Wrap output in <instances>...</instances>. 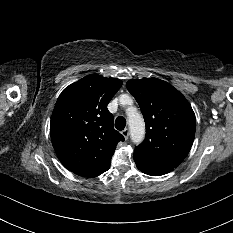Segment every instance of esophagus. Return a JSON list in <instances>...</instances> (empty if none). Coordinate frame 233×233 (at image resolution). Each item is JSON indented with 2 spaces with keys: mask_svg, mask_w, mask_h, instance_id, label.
I'll return each mask as SVG.
<instances>
[{
  "mask_svg": "<svg viewBox=\"0 0 233 233\" xmlns=\"http://www.w3.org/2000/svg\"><path fill=\"white\" fill-rule=\"evenodd\" d=\"M122 135H123L124 138L127 140L128 137H129V129H128V128H125V129L122 131Z\"/></svg>",
  "mask_w": 233,
  "mask_h": 233,
  "instance_id": "34e87169",
  "label": "esophagus"
}]
</instances>
